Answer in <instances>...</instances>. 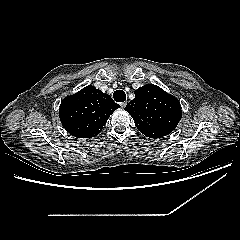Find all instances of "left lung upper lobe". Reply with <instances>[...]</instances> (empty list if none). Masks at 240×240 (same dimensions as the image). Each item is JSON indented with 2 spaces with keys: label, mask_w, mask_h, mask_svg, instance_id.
Instances as JSON below:
<instances>
[{
  "label": "left lung upper lobe",
  "mask_w": 240,
  "mask_h": 240,
  "mask_svg": "<svg viewBox=\"0 0 240 240\" xmlns=\"http://www.w3.org/2000/svg\"><path fill=\"white\" fill-rule=\"evenodd\" d=\"M125 110L141 133L155 139L171 133L182 114L178 99L153 84L137 89L135 99L129 102Z\"/></svg>",
  "instance_id": "obj_1"
}]
</instances>
